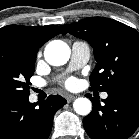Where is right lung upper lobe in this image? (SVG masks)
<instances>
[{
    "label": "right lung upper lobe",
    "mask_w": 139,
    "mask_h": 139,
    "mask_svg": "<svg viewBox=\"0 0 139 139\" xmlns=\"http://www.w3.org/2000/svg\"><path fill=\"white\" fill-rule=\"evenodd\" d=\"M65 33L56 25L42 27L8 25L0 29V42L15 43L37 53L38 49L49 39Z\"/></svg>",
    "instance_id": "obj_1"
}]
</instances>
